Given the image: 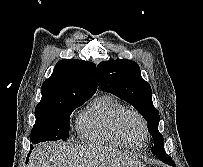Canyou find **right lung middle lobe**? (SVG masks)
<instances>
[{
    "label": "right lung middle lobe",
    "instance_id": "obj_1",
    "mask_svg": "<svg viewBox=\"0 0 203 167\" xmlns=\"http://www.w3.org/2000/svg\"><path fill=\"white\" fill-rule=\"evenodd\" d=\"M88 99H70L52 107L36 108V122L31 131L30 141L34 144L53 140L66 141L71 113Z\"/></svg>",
    "mask_w": 203,
    "mask_h": 167
}]
</instances>
